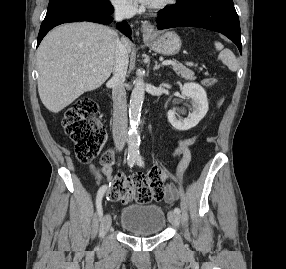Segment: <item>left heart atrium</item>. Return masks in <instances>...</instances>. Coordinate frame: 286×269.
<instances>
[{
	"label": "left heart atrium",
	"instance_id": "1",
	"mask_svg": "<svg viewBox=\"0 0 286 269\" xmlns=\"http://www.w3.org/2000/svg\"><path fill=\"white\" fill-rule=\"evenodd\" d=\"M133 1L139 4H142V5L148 6V5H152L154 0H133Z\"/></svg>",
	"mask_w": 286,
	"mask_h": 269
}]
</instances>
